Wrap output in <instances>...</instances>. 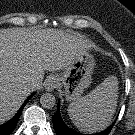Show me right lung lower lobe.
Wrapping results in <instances>:
<instances>
[{
	"label": "right lung lower lobe",
	"instance_id": "1",
	"mask_svg": "<svg viewBox=\"0 0 135 135\" xmlns=\"http://www.w3.org/2000/svg\"><path fill=\"white\" fill-rule=\"evenodd\" d=\"M34 94H31L23 103V105L21 106V108L19 109V111L17 112V114L8 122H6L5 124L0 126V135H10L11 132L15 129L17 122L19 120V117L21 115L22 109L24 108V106L27 104V102L29 101V99L33 96Z\"/></svg>",
	"mask_w": 135,
	"mask_h": 135
}]
</instances>
